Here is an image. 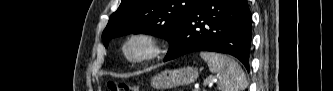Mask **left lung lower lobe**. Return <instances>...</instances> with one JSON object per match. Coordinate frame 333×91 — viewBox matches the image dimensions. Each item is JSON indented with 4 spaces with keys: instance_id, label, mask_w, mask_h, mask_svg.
<instances>
[{
    "instance_id": "obj_1",
    "label": "left lung lower lobe",
    "mask_w": 333,
    "mask_h": 91,
    "mask_svg": "<svg viewBox=\"0 0 333 91\" xmlns=\"http://www.w3.org/2000/svg\"><path fill=\"white\" fill-rule=\"evenodd\" d=\"M251 24L247 0H199L169 42L164 61L212 51L236 57L249 71Z\"/></svg>"
}]
</instances>
